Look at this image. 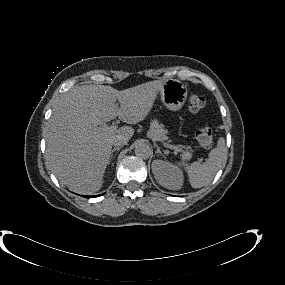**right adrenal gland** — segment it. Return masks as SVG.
Here are the masks:
<instances>
[{
	"instance_id": "1",
	"label": "right adrenal gland",
	"mask_w": 285,
	"mask_h": 285,
	"mask_svg": "<svg viewBox=\"0 0 285 285\" xmlns=\"http://www.w3.org/2000/svg\"><path fill=\"white\" fill-rule=\"evenodd\" d=\"M120 148H121V146H119V147H115V148H113L112 149V152H111V155H110V158H109V162H110V160L112 159V157H113V153L115 152V151H119L120 150Z\"/></svg>"
}]
</instances>
